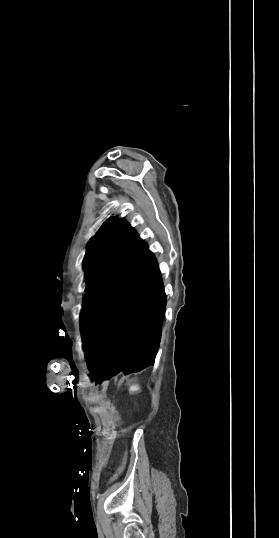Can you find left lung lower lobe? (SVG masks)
<instances>
[{
	"label": "left lung lower lobe",
	"instance_id": "left-lung-lower-lobe-1",
	"mask_svg": "<svg viewBox=\"0 0 279 538\" xmlns=\"http://www.w3.org/2000/svg\"><path fill=\"white\" fill-rule=\"evenodd\" d=\"M166 297L154 255L143 242L81 314L91 374L109 379L154 363Z\"/></svg>",
	"mask_w": 279,
	"mask_h": 538
}]
</instances>
